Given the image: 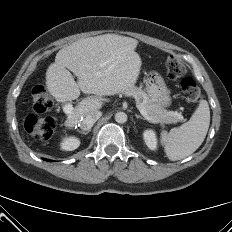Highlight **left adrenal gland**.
Returning a JSON list of instances; mask_svg holds the SVG:
<instances>
[{
    "label": "left adrenal gland",
    "instance_id": "left-adrenal-gland-1",
    "mask_svg": "<svg viewBox=\"0 0 232 232\" xmlns=\"http://www.w3.org/2000/svg\"><path fill=\"white\" fill-rule=\"evenodd\" d=\"M135 117H136L137 119L146 120V118H144V117H142V116H140V115H138V114H135Z\"/></svg>",
    "mask_w": 232,
    "mask_h": 232
}]
</instances>
